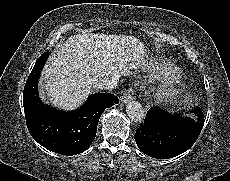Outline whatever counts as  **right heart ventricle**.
<instances>
[{
    "label": "right heart ventricle",
    "mask_w": 230,
    "mask_h": 181,
    "mask_svg": "<svg viewBox=\"0 0 230 181\" xmlns=\"http://www.w3.org/2000/svg\"><path fill=\"white\" fill-rule=\"evenodd\" d=\"M158 72L165 77L179 74L178 70L170 64H160L157 67Z\"/></svg>",
    "instance_id": "obj_1"
}]
</instances>
